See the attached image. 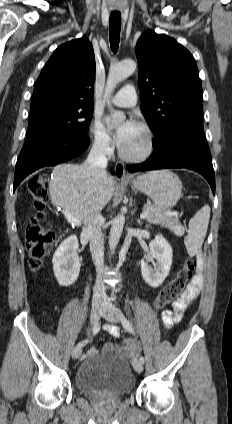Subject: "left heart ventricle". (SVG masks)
I'll return each instance as SVG.
<instances>
[{
	"mask_svg": "<svg viewBox=\"0 0 232 424\" xmlns=\"http://www.w3.org/2000/svg\"><path fill=\"white\" fill-rule=\"evenodd\" d=\"M145 147V134L138 127L123 149L128 153H138Z\"/></svg>",
	"mask_w": 232,
	"mask_h": 424,
	"instance_id": "obj_1",
	"label": "left heart ventricle"
}]
</instances>
